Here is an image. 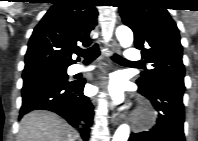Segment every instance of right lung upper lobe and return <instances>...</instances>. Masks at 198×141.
Segmentation results:
<instances>
[{"instance_id": "cb5924a9", "label": "right lung upper lobe", "mask_w": 198, "mask_h": 141, "mask_svg": "<svg viewBox=\"0 0 198 141\" xmlns=\"http://www.w3.org/2000/svg\"><path fill=\"white\" fill-rule=\"evenodd\" d=\"M93 0H58L35 27L25 55L24 72L62 68L75 63L78 45L89 46V33L97 25Z\"/></svg>"}]
</instances>
